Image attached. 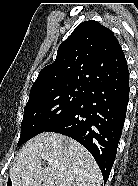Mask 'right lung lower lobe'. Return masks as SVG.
<instances>
[{
  "label": "right lung lower lobe",
  "mask_w": 138,
  "mask_h": 186,
  "mask_svg": "<svg viewBox=\"0 0 138 186\" xmlns=\"http://www.w3.org/2000/svg\"><path fill=\"white\" fill-rule=\"evenodd\" d=\"M129 100V79L119 85L90 87L83 101L46 132H56L81 143L108 180L122 134Z\"/></svg>",
  "instance_id": "obj_1"
}]
</instances>
